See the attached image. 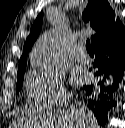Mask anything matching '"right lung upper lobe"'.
<instances>
[{"label": "right lung upper lobe", "mask_w": 125, "mask_h": 128, "mask_svg": "<svg viewBox=\"0 0 125 128\" xmlns=\"http://www.w3.org/2000/svg\"><path fill=\"white\" fill-rule=\"evenodd\" d=\"M42 20L43 13H40L32 25L30 34L26 39L17 73L26 70L27 54L39 35L42 28ZM83 20L85 22L90 20L91 27L96 31V34L91 36L92 44L120 23L119 18L115 19V14L107 0H88V5L83 13Z\"/></svg>", "instance_id": "1"}]
</instances>
